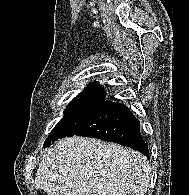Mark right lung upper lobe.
I'll list each match as a JSON object with an SVG mask.
<instances>
[{
    "label": "right lung upper lobe",
    "instance_id": "obj_1",
    "mask_svg": "<svg viewBox=\"0 0 189 195\" xmlns=\"http://www.w3.org/2000/svg\"><path fill=\"white\" fill-rule=\"evenodd\" d=\"M82 93L105 94V91L101 87L91 83L89 87L85 89Z\"/></svg>",
    "mask_w": 189,
    "mask_h": 195
}]
</instances>
